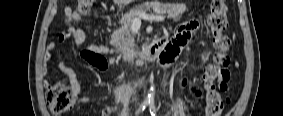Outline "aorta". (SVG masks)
<instances>
[{"mask_svg": "<svg viewBox=\"0 0 283 116\" xmlns=\"http://www.w3.org/2000/svg\"><path fill=\"white\" fill-rule=\"evenodd\" d=\"M155 99V89L154 86H151L149 93L147 94L146 101L149 103H154Z\"/></svg>", "mask_w": 283, "mask_h": 116, "instance_id": "762f6f07", "label": "aorta"}]
</instances>
